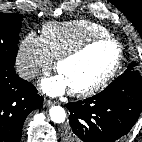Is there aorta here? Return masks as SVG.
Wrapping results in <instances>:
<instances>
[{
  "label": "aorta",
  "mask_w": 142,
  "mask_h": 142,
  "mask_svg": "<svg viewBox=\"0 0 142 142\" xmlns=\"http://www.w3.org/2000/svg\"><path fill=\"white\" fill-rule=\"evenodd\" d=\"M49 115L54 123H63L66 119L65 110L60 106H52Z\"/></svg>",
  "instance_id": "obj_1"
}]
</instances>
